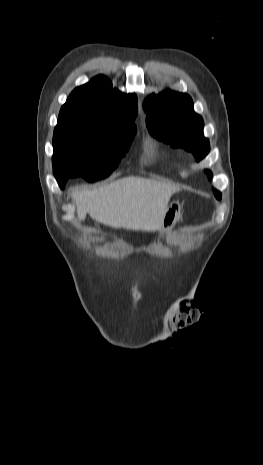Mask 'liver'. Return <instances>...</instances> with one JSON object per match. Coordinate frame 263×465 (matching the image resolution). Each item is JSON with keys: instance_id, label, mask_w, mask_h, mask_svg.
I'll list each match as a JSON object with an SVG mask.
<instances>
[{"instance_id": "liver-1", "label": "liver", "mask_w": 263, "mask_h": 465, "mask_svg": "<svg viewBox=\"0 0 263 465\" xmlns=\"http://www.w3.org/2000/svg\"><path fill=\"white\" fill-rule=\"evenodd\" d=\"M180 189L143 177H124L94 190L72 189L78 218L86 214L112 228L154 232L161 222L171 196Z\"/></svg>"}]
</instances>
